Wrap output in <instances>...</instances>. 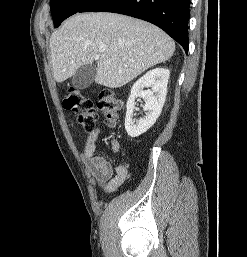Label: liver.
Returning <instances> with one entry per match:
<instances>
[{"label":"liver","mask_w":247,"mask_h":257,"mask_svg":"<svg viewBox=\"0 0 247 257\" xmlns=\"http://www.w3.org/2000/svg\"><path fill=\"white\" fill-rule=\"evenodd\" d=\"M50 49L56 82H64L79 67L96 61L95 82L119 88L171 58L175 43L151 23L99 12L69 18L52 33Z\"/></svg>","instance_id":"liver-1"}]
</instances>
